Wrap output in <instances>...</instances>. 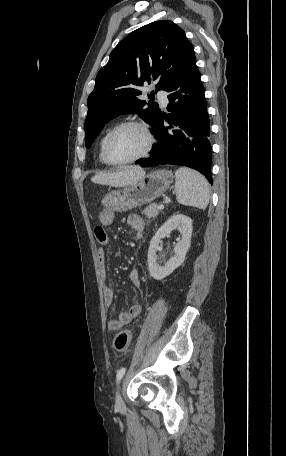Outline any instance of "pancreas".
Returning <instances> with one entry per match:
<instances>
[{
    "instance_id": "1",
    "label": "pancreas",
    "mask_w": 286,
    "mask_h": 456,
    "mask_svg": "<svg viewBox=\"0 0 286 456\" xmlns=\"http://www.w3.org/2000/svg\"><path fill=\"white\" fill-rule=\"evenodd\" d=\"M158 205L156 203H151L148 207L144 209V214L147 216V218L153 219L158 216L160 209L157 208Z\"/></svg>"
}]
</instances>
